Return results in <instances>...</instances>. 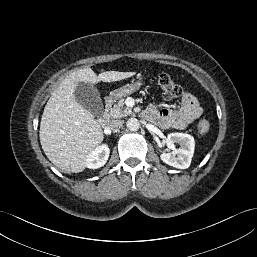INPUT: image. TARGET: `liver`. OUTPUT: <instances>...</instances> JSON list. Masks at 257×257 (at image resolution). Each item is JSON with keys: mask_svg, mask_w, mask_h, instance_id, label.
<instances>
[{"mask_svg": "<svg viewBox=\"0 0 257 257\" xmlns=\"http://www.w3.org/2000/svg\"><path fill=\"white\" fill-rule=\"evenodd\" d=\"M135 72L106 71L98 76L90 67L79 69L65 78L49 98L40 123V143L47 158L65 172H81L88 155L103 141L100 124L74 96L79 82L95 84L115 82Z\"/></svg>", "mask_w": 257, "mask_h": 257, "instance_id": "6515ba94", "label": "liver"}]
</instances>
